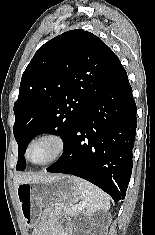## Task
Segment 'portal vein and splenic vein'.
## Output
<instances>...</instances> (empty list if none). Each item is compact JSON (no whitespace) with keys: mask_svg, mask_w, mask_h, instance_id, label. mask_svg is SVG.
Returning a JSON list of instances; mask_svg holds the SVG:
<instances>
[{"mask_svg":"<svg viewBox=\"0 0 155 235\" xmlns=\"http://www.w3.org/2000/svg\"><path fill=\"white\" fill-rule=\"evenodd\" d=\"M79 209H82V207H81V206H77V205H75V206L72 207V210H73V211H77V210H79Z\"/></svg>","mask_w":155,"mask_h":235,"instance_id":"1","label":"portal vein and splenic vein"}]
</instances>
